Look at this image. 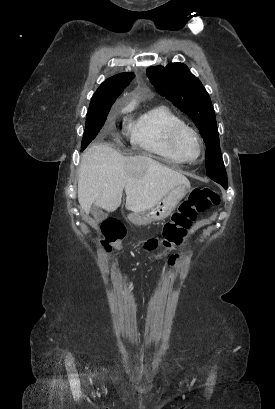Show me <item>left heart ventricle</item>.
<instances>
[{
  "instance_id": "1",
  "label": "left heart ventricle",
  "mask_w": 275,
  "mask_h": 409,
  "mask_svg": "<svg viewBox=\"0 0 275 409\" xmlns=\"http://www.w3.org/2000/svg\"><path fill=\"white\" fill-rule=\"evenodd\" d=\"M197 153V147L194 139L188 133L183 134L177 143V154L179 157H194Z\"/></svg>"
}]
</instances>
